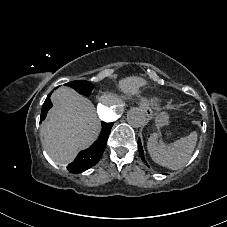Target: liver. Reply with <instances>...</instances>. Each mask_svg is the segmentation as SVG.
Instances as JSON below:
<instances>
[{
	"label": "liver",
	"mask_w": 227,
	"mask_h": 227,
	"mask_svg": "<svg viewBox=\"0 0 227 227\" xmlns=\"http://www.w3.org/2000/svg\"><path fill=\"white\" fill-rule=\"evenodd\" d=\"M142 82L137 78L122 81V87L133 89ZM56 108L41 126L44 146L57 164L71 162L80 149L89 145L99 130L94 107L70 88H60L52 95ZM102 100L110 105L107 97Z\"/></svg>",
	"instance_id": "obj_1"
}]
</instances>
